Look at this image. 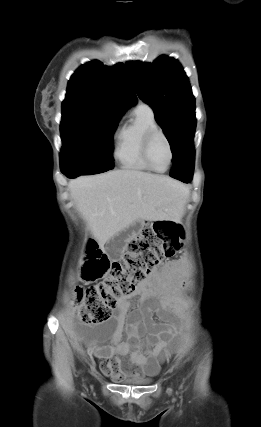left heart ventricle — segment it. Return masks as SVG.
<instances>
[{
  "mask_svg": "<svg viewBox=\"0 0 261 427\" xmlns=\"http://www.w3.org/2000/svg\"><path fill=\"white\" fill-rule=\"evenodd\" d=\"M150 158L155 168L163 170L167 167L170 153L167 143L161 136H157L150 149Z\"/></svg>",
  "mask_w": 261,
  "mask_h": 427,
  "instance_id": "b2bd125f",
  "label": "left heart ventricle"
}]
</instances>
